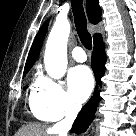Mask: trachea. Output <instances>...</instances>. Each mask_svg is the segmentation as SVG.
Masks as SVG:
<instances>
[{"label":"trachea","instance_id":"3493384b","mask_svg":"<svg viewBox=\"0 0 136 136\" xmlns=\"http://www.w3.org/2000/svg\"><path fill=\"white\" fill-rule=\"evenodd\" d=\"M72 11L75 20L76 31L80 41L88 50L92 49L91 35L87 30V20L83 8V0H71Z\"/></svg>","mask_w":136,"mask_h":136}]
</instances>
